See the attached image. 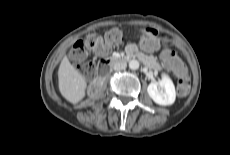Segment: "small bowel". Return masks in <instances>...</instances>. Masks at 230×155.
Returning a JSON list of instances; mask_svg holds the SVG:
<instances>
[{"label":"small bowel","mask_w":230,"mask_h":155,"mask_svg":"<svg viewBox=\"0 0 230 155\" xmlns=\"http://www.w3.org/2000/svg\"><path fill=\"white\" fill-rule=\"evenodd\" d=\"M143 48L146 51H155L159 48V42L155 38H144L142 41ZM128 51L137 52V46L135 44H130L128 46ZM106 48H102L98 53L102 54ZM163 60L168 69L176 74H179L182 66L180 65L177 57L170 51L166 50L163 52Z\"/></svg>","instance_id":"1"}]
</instances>
